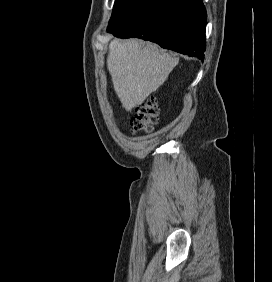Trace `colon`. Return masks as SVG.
Wrapping results in <instances>:
<instances>
[{"label":"colon","instance_id":"1","mask_svg":"<svg viewBox=\"0 0 272 282\" xmlns=\"http://www.w3.org/2000/svg\"><path fill=\"white\" fill-rule=\"evenodd\" d=\"M157 117L156 102L151 98L136 107L135 114L131 119V128L134 132H150L157 121Z\"/></svg>","mask_w":272,"mask_h":282}]
</instances>
